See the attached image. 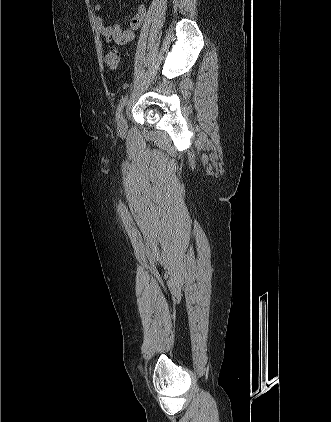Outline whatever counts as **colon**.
Returning <instances> with one entry per match:
<instances>
[{
  "label": "colon",
  "instance_id": "5ec220e1",
  "mask_svg": "<svg viewBox=\"0 0 331 422\" xmlns=\"http://www.w3.org/2000/svg\"><path fill=\"white\" fill-rule=\"evenodd\" d=\"M119 62H120L119 51L116 48L111 47L106 55V63L108 67L112 70H116L119 66Z\"/></svg>",
  "mask_w": 331,
  "mask_h": 422
}]
</instances>
